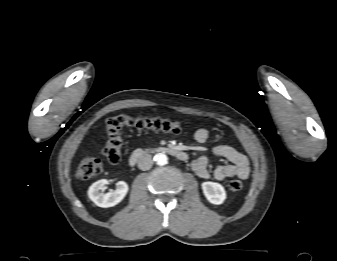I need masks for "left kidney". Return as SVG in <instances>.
I'll return each instance as SVG.
<instances>
[{
    "instance_id": "left-kidney-1",
    "label": "left kidney",
    "mask_w": 337,
    "mask_h": 261,
    "mask_svg": "<svg viewBox=\"0 0 337 261\" xmlns=\"http://www.w3.org/2000/svg\"><path fill=\"white\" fill-rule=\"evenodd\" d=\"M202 190L207 200L215 205H220L226 199V192L223 186L216 182H203Z\"/></svg>"
}]
</instances>
